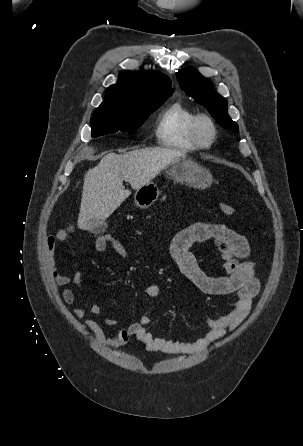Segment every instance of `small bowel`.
Returning <instances> with one entry per match:
<instances>
[{
  "instance_id": "c3829d8e",
  "label": "small bowel",
  "mask_w": 303,
  "mask_h": 446,
  "mask_svg": "<svg viewBox=\"0 0 303 446\" xmlns=\"http://www.w3.org/2000/svg\"><path fill=\"white\" fill-rule=\"evenodd\" d=\"M75 228L70 225L60 229L45 240L46 263L55 284L65 287L73 283L84 289V280L81 272L77 271L72 277L60 273L56 268L55 253L59 243L71 241ZM213 241L218 247L226 275L211 276L202 270L192 252L196 244ZM97 252L114 250L123 259H129L130 254L126 247L116 238L108 240L100 235L94 240ZM170 253L177 263L182 274L201 292L215 296L231 295L234 301L231 309L224 315L211 318L207 321V332L204 336L193 342H179L150 332L147 327L152 319L144 314L140 319L127 328L118 330L112 337H106L101 326L94 320L87 319L84 326L95 333L97 340L110 347H121L131 338L142 342L149 350L173 355H193L206 350L213 342L223 337L227 332L235 330L250 313L252 302L257 295L260 283L255 275V263L248 259L250 246L247 239L223 224L195 223L177 233L170 242ZM161 293L159 284H151L145 294L148 298H156ZM62 298L67 304L76 300L75 292L70 288L62 291ZM95 315L101 314V308L91 303L89 309L77 307L73 309L76 318L82 319L87 312ZM109 326H115L118 321L107 318Z\"/></svg>"
}]
</instances>
